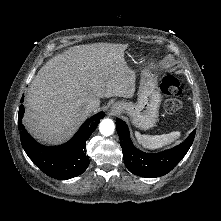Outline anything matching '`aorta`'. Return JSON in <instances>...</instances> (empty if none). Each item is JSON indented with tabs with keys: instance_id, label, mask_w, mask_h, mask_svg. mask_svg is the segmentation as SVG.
<instances>
[{
	"instance_id": "obj_1",
	"label": "aorta",
	"mask_w": 221,
	"mask_h": 221,
	"mask_svg": "<svg viewBox=\"0 0 221 221\" xmlns=\"http://www.w3.org/2000/svg\"><path fill=\"white\" fill-rule=\"evenodd\" d=\"M115 130V124L111 119H103L99 125V131L104 136H110Z\"/></svg>"
}]
</instances>
